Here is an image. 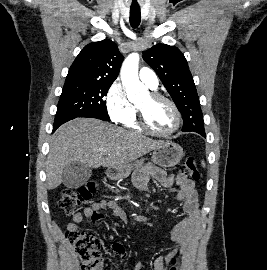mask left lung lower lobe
Wrapping results in <instances>:
<instances>
[{
	"instance_id": "1",
	"label": "left lung lower lobe",
	"mask_w": 267,
	"mask_h": 270,
	"mask_svg": "<svg viewBox=\"0 0 267 270\" xmlns=\"http://www.w3.org/2000/svg\"><path fill=\"white\" fill-rule=\"evenodd\" d=\"M200 134L205 137V133H200Z\"/></svg>"
}]
</instances>
